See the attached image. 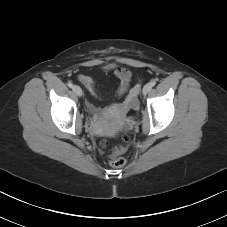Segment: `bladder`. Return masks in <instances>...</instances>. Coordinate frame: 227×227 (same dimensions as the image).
Listing matches in <instances>:
<instances>
[{"label": "bladder", "instance_id": "obj_1", "mask_svg": "<svg viewBox=\"0 0 227 227\" xmlns=\"http://www.w3.org/2000/svg\"><path fill=\"white\" fill-rule=\"evenodd\" d=\"M90 111H91L93 114L101 115V111L98 110V109L91 108Z\"/></svg>", "mask_w": 227, "mask_h": 227}]
</instances>
